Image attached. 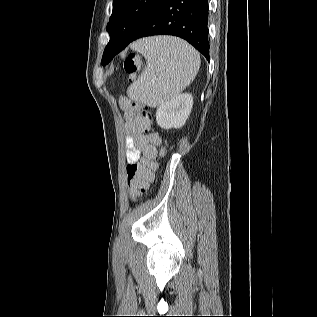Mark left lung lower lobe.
<instances>
[{
    "mask_svg": "<svg viewBox=\"0 0 317 317\" xmlns=\"http://www.w3.org/2000/svg\"><path fill=\"white\" fill-rule=\"evenodd\" d=\"M208 0H163L137 34L125 44L109 41L105 50L112 59L131 42L153 35L178 36L201 52L209 61L207 34Z\"/></svg>",
    "mask_w": 317,
    "mask_h": 317,
    "instance_id": "obj_1",
    "label": "left lung lower lobe"
}]
</instances>
